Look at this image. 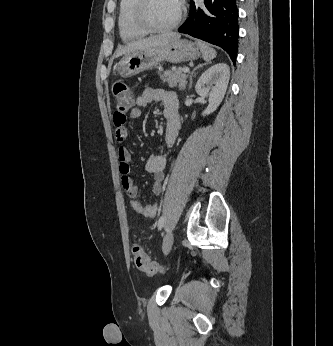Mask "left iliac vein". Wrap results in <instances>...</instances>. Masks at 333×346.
Returning a JSON list of instances; mask_svg holds the SVG:
<instances>
[{
    "label": "left iliac vein",
    "instance_id": "4c4485c4",
    "mask_svg": "<svg viewBox=\"0 0 333 346\" xmlns=\"http://www.w3.org/2000/svg\"><path fill=\"white\" fill-rule=\"evenodd\" d=\"M173 240H174V234L172 231H169L164 239H163V243H162V250H163V253L166 255L169 253L171 247H172V244H173Z\"/></svg>",
    "mask_w": 333,
    "mask_h": 346
}]
</instances>
